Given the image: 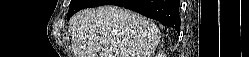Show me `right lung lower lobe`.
Returning <instances> with one entry per match:
<instances>
[{"label":"right lung lower lobe","instance_id":"obj_1","mask_svg":"<svg viewBox=\"0 0 249 57\" xmlns=\"http://www.w3.org/2000/svg\"><path fill=\"white\" fill-rule=\"evenodd\" d=\"M107 4L136 11L177 31L180 29L179 0H91L88 7Z\"/></svg>","mask_w":249,"mask_h":57}]
</instances>
